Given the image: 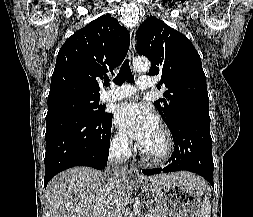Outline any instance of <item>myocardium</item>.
I'll return each mask as SVG.
<instances>
[{"instance_id":"f54148a6","label":"myocardium","mask_w":253,"mask_h":217,"mask_svg":"<svg viewBox=\"0 0 253 217\" xmlns=\"http://www.w3.org/2000/svg\"><path fill=\"white\" fill-rule=\"evenodd\" d=\"M158 130L160 131L164 140V149L161 153L150 154L147 151L143 150L142 147L140 146L138 147L142 158L146 160L147 162L154 163V164L163 163L167 161L172 156L173 151H174V142H173V137L170 130L166 128L165 126H160Z\"/></svg>"}]
</instances>
